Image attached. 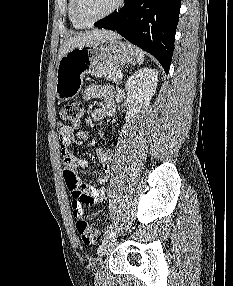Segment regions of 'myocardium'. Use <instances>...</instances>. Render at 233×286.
<instances>
[{
  "label": "myocardium",
  "mask_w": 233,
  "mask_h": 286,
  "mask_svg": "<svg viewBox=\"0 0 233 286\" xmlns=\"http://www.w3.org/2000/svg\"><path fill=\"white\" fill-rule=\"evenodd\" d=\"M125 0H117L115 2V4L113 5V7H111L107 12L103 13L102 15L98 16L95 19L92 20H84L80 14L79 11V7H80V0H74V15L76 17V19L83 25L85 26H91L105 18H107L108 16L112 15L113 13H115L118 9H120L122 7V5L124 4Z\"/></svg>",
  "instance_id": "myocardium-1"
}]
</instances>
